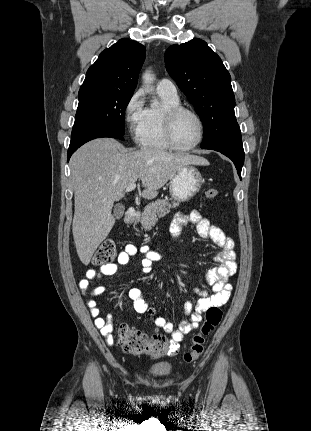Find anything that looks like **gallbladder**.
Segmentation results:
<instances>
[{
    "mask_svg": "<svg viewBox=\"0 0 311 431\" xmlns=\"http://www.w3.org/2000/svg\"><path fill=\"white\" fill-rule=\"evenodd\" d=\"M124 210L125 208L122 204H116V206H114V216L117 217V219H120L124 214Z\"/></svg>",
    "mask_w": 311,
    "mask_h": 431,
    "instance_id": "1",
    "label": "gallbladder"
}]
</instances>
